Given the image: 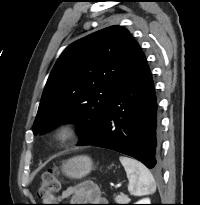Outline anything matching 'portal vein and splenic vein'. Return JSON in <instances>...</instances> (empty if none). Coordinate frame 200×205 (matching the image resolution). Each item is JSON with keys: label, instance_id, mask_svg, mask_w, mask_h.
<instances>
[{"label": "portal vein and splenic vein", "instance_id": "portal-vein-and-splenic-vein-1", "mask_svg": "<svg viewBox=\"0 0 200 205\" xmlns=\"http://www.w3.org/2000/svg\"><path fill=\"white\" fill-rule=\"evenodd\" d=\"M121 186V183H118L117 185H116V187H120Z\"/></svg>", "mask_w": 200, "mask_h": 205}]
</instances>
